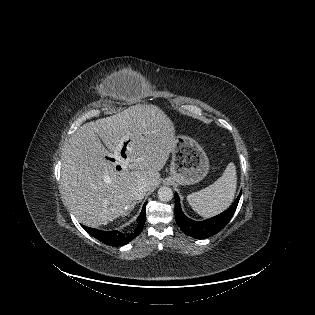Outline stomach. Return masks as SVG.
Segmentation results:
<instances>
[{
    "label": "stomach",
    "instance_id": "1",
    "mask_svg": "<svg viewBox=\"0 0 315 315\" xmlns=\"http://www.w3.org/2000/svg\"><path fill=\"white\" fill-rule=\"evenodd\" d=\"M170 174L180 185L200 182L209 171V160L196 140L186 135L175 136Z\"/></svg>",
    "mask_w": 315,
    "mask_h": 315
}]
</instances>
